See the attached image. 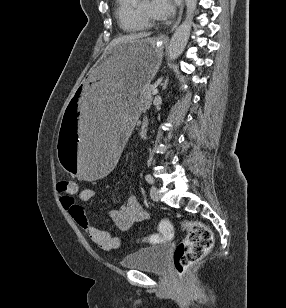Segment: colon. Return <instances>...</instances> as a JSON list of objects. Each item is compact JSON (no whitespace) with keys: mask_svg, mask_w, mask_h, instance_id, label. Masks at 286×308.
Listing matches in <instances>:
<instances>
[{"mask_svg":"<svg viewBox=\"0 0 286 308\" xmlns=\"http://www.w3.org/2000/svg\"><path fill=\"white\" fill-rule=\"evenodd\" d=\"M57 190L64 197L73 199L77 191V184L71 180H61L57 184ZM182 227L187 231L186 238L181 241L174 252V268L181 279L184 278L187 269L201 259L213 245L211 230L198 221H184ZM173 237V227L169 221L163 220L159 224V234H151L143 239L148 244H158L168 241Z\"/></svg>","mask_w":286,"mask_h":308,"instance_id":"colon-1","label":"colon"}]
</instances>
